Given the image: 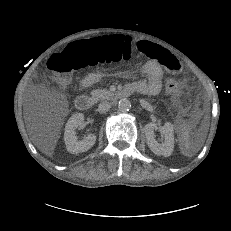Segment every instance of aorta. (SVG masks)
Listing matches in <instances>:
<instances>
[{
    "instance_id": "1",
    "label": "aorta",
    "mask_w": 231,
    "mask_h": 231,
    "mask_svg": "<svg viewBox=\"0 0 231 231\" xmlns=\"http://www.w3.org/2000/svg\"><path fill=\"white\" fill-rule=\"evenodd\" d=\"M118 108L122 112L129 111L131 109V102L127 98H122L118 102Z\"/></svg>"
}]
</instances>
